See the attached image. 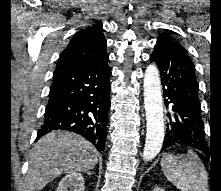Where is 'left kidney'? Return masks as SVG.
<instances>
[{"label":"left kidney","mask_w":221,"mask_h":191,"mask_svg":"<svg viewBox=\"0 0 221 191\" xmlns=\"http://www.w3.org/2000/svg\"><path fill=\"white\" fill-rule=\"evenodd\" d=\"M153 191H165V190L162 189V188H159V187H155V188L153 189Z\"/></svg>","instance_id":"5707ae66"}]
</instances>
